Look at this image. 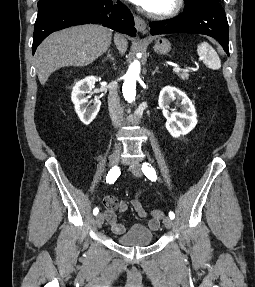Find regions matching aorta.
I'll list each match as a JSON object with an SVG mask.
<instances>
[{
	"instance_id": "aorta-1",
	"label": "aorta",
	"mask_w": 255,
	"mask_h": 287,
	"mask_svg": "<svg viewBox=\"0 0 255 287\" xmlns=\"http://www.w3.org/2000/svg\"><path fill=\"white\" fill-rule=\"evenodd\" d=\"M140 69V62L134 60L130 64L128 71L124 76L122 91L124 98L129 103H133L136 98V81L139 79Z\"/></svg>"
}]
</instances>
